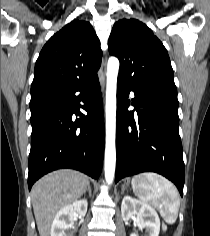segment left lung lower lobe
<instances>
[{
  "mask_svg": "<svg viewBox=\"0 0 210 236\" xmlns=\"http://www.w3.org/2000/svg\"><path fill=\"white\" fill-rule=\"evenodd\" d=\"M130 91L135 115L128 111ZM178 127L177 94L137 90L118 78L115 182L152 171L171 180L182 196L185 168Z\"/></svg>",
  "mask_w": 210,
  "mask_h": 236,
  "instance_id": "left-lung-lower-lobe-1",
  "label": "left lung lower lobe"
}]
</instances>
